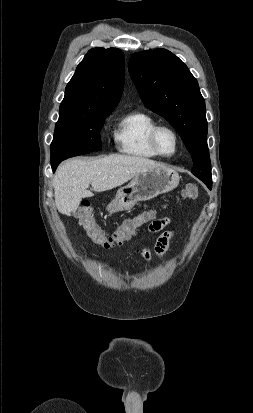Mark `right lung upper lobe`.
Here are the masks:
<instances>
[{"label": "right lung upper lobe", "instance_id": "1", "mask_svg": "<svg viewBox=\"0 0 253 413\" xmlns=\"http://www.w3.org/2000/svg\"><path fill=\"white\" fill-rule=\"evenodd\" d=\"M124 77L125 60L120 49L89 50L66 86L59 118L113 111L123 92Z\"/></svg>", "mask_w": 253, "mask_h": 413}]
</instances>
